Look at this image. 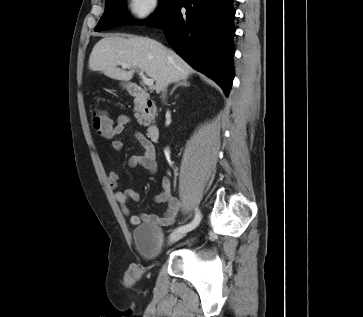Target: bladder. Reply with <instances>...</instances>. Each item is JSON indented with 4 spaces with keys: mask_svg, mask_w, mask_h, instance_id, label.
<instances>
[{
    "mask_svg": "<svg viewBox=\"0 0 363 317\" xmlns=\"http://www.w3.org/2000/svg\"><path fill=\"white\" fill-rule=\"evenodd\" d=\"M132 235L135 246L143 258L152 261L160 256L163 232L158 226L150 222L139 224L134 228Z\"/></svg>",
    "mask_w": 363,
    "mask_h": 317,
    "instance_id": "bladder-1",
    "label": "bladder"
}]
</instances>
